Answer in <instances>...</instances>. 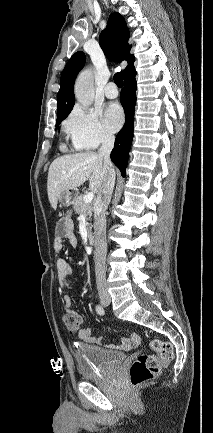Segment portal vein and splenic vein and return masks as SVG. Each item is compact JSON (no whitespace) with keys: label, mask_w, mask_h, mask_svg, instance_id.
Here are the masks:
<instances>
[{"label":"portal vein and splenic vein","mask_w":213,"mask_h":433,"mask_svg":"<svg viewBox=\"0 0 213 433\" xmlns=\"http://www.w3.org/2000/svg\"><path fill=\"white\" fill-rule=\"evenodd\" d=\"M94 198V193L93 192H89L87 194L84 195V202L85 203H91L92 200Z\"/></svg>","instance_id":"portal-vein-and-splenic-vein-1"}]
</instances>
